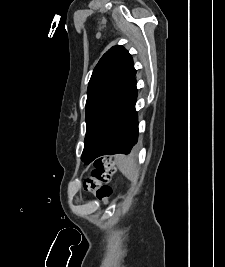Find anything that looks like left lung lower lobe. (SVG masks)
<instances>
[{"mask_svg":"<svg viewBox=\"0 0 225 267\" xmlns=\"http://www.w3.org/2000/svg\"><path fill=\"white\" fill-rule=\"evenodd\" d=\"M136 75V74H135ZM137 88L135 76L120 103L112 129L97 157L129 154L138 142V118L135 110Z\"/></svg>","mask_w":225,"mask_h":267,"instance_id":"1","label":"left lung lower lobe"}]
</instances>
